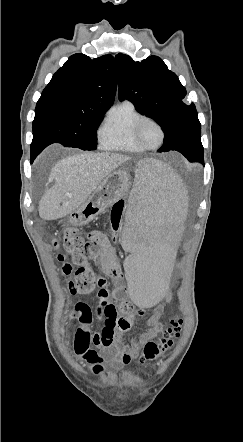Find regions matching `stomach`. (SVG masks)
<instances>
[{
	"label": "stomach",
	"instance_id": "0dacf381",
	"mask_svg": "<svg viewBox=\"0 0 243 442\" xmlns=\"http://www.w3.org/2000/svg\"><path fill=\"white\" fill-rule=\"evenodd\" d=\"M131 186L130 175L122 169L109 174L92 193L88 200L68 215L71 225L81 226L92 221L120 198Z\"/></svg>",
	"mask_w": 243,
	"mask_h": 442
}]
</instances>
